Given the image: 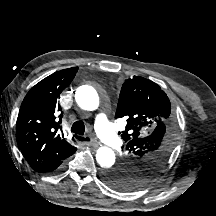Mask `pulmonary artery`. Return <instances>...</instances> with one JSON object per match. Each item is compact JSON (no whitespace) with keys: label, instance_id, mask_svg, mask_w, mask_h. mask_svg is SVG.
Here are the masks:
<instances>
[{"label":"pulmonary artery","instance_id":"obj_1","mask_svg":"<svg viewBox=\"0 0 216 216\" xmlns=\"http://www.w3.org/2000/svg\"><path fill=\"white\" fill-rule=\"evenodd\" d=\"M95 130L98 136L110 147L116 148L122 145V140L112 128L104 113L97 114L95 118Z\"/></svg>","mask_w":216,"mask_h":216}]
</instances>
